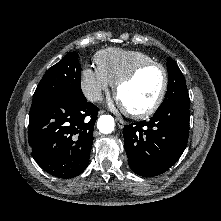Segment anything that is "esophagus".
<instances>
[{
    "instance_id": "obj_1",
    "label": "esophagus",
    "mask_w": 221,
    "mask_h": 221,
    "mask_svg": "<svg viewBox=\"0 0 221 221\" xmlns=\"http://www.w3.org/2000/svg\"><path fill=\"white\" fill-rule=\"evenodd\" d=\"M100 113H102V111ZM116 123L120 128H123L125 125L124 121L120 118H116Z\"/></svg>"
}]
</instances>
